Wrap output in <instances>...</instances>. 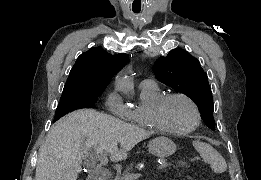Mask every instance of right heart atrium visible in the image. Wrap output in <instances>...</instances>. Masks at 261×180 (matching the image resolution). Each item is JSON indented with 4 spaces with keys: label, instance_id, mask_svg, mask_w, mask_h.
Segmentation results:
<instances>
[{
    "label": "right heart atrium",
    "instance_id": "1",
    "mask_svg": "<svg viewBox=\"0 0 261 180\" xmlns=\"http://www.w3.org/2000/svg\"><path fill=\"white\" fill-rule=\"evenodd\" d=\"M118 99H119L118 92L117 90L114 89L107 95L106 104L114 105L117 103ZM113 114H119V117H123V120H127L129 117L127 112L124 110L113 112ZM124 127H126V125H124Z\"/></svg>",
    "mask_w": 261,
    "mask_h": 180
}]
</instances>
